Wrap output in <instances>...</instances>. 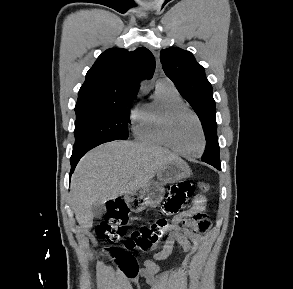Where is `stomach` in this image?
I'll use <instances>...</instances> for the list:
<instances>
[{
	"instance_id": "stomach-1",
	"label": "stomach",
	"mask_w": 293,
	"mask_h": 289,
	"mask_svg": "<svg viewBox=\"0 0 293 289\" xmlns=\"http://www.w3.org/2000/svg\"><path fill=\"white\" fill-rule=\"evenodd\" d=\"M191 169L183 160L167 163L157 173L158 181L148 182L137 194L127 196L132 211L141 212L146 208H155L164 198V186L190 177Z\"/></svg>"
}]
</instances>
